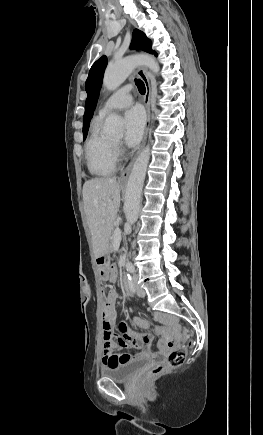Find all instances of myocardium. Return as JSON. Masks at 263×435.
Returning a JSON list of instances; mask_svg holds the SVG:
<instances>
[{
	"label": "myocardium",
	"instance_id": "f54148a6",
	"mask_svg": "<svg viewBox=\"0 0 263 435\" xmlns=\"http://www.w3.org/2000/svg\"><path fill=\"white\" fill-rule=\"evenodd\" d=\"M112 144H113V146L115 147V149L117 148V146H118V143H115V142H113L112 141Z\"/></svg>",
	"mask_w": 263,
	"mask_h": 435
}]
</instances>
